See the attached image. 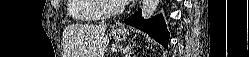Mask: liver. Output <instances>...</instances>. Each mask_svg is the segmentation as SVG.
I'll return each instance as SVG.
<instances>
[{"mask_svg": "<svg viewBox=\"0 0 249 57\" xmlns=\"http://www.w3.org/2000/svg\"><path fill=\"white\" fill-rule=\"evenodd\" d=\"M106 28V25L68 26L64 35L72 57H104L109 44Z\"/></svg>", "mask_w": 249, "mask_h": 57, "instance_id": "6515ba94", "label": "liver"}]
</instances>
